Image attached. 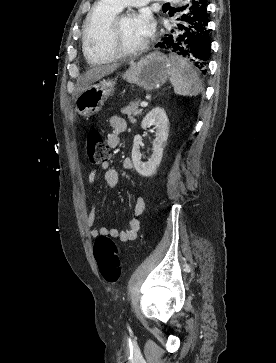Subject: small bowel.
<instances>
[{
  "label": "small bowel",
  "instance_id": "1",
  "mask_svg": "<svg viewBox=\"0 0 276 363\" xmlns=\"http://www.w3.org/2000/svg\"><path fill=\"white\" fill-rule=\"evenodd\" d=\"M109 124L113 131L107 136V145L110 148H116L120 143V136L126 130L127 123L125 119L121 116H113L109 120ZM123 167L126 170L133 169V163L129 158H126L123 162ZM100 168L104 171V181L109 187H116L119 183V175L117 171L109 166L108 163L101 164ZM98 170H92L88 175V183L94 185L97 180ZM145 209V201L142 196L136 198L132 217L127 222V228L125 230H117L115 228L109 227H94L95 223V207L91 205L88 212L86 223L89 228V233L92 237H98L107 235L118 239L121 242H133L138 237V232L140 230L141 221L140 217Z\"/></svg>",
  "mask_w": 276,
  "mask_h": 363
}]
</instances>
